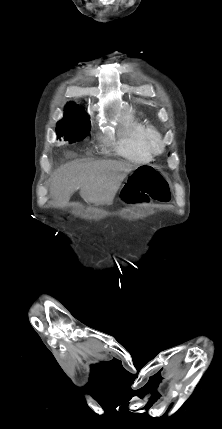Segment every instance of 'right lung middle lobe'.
I'll list each match as a JSON object with an SVG mask.
<instances>
[{"label":"right lung middle lobe","instance_id":"right-lung-middle-lobe-1","mask_svg":"<svg viewBox=\"0 0 222 429\" xmlns=\"http://www.w3.org/2000/svg\"><path fill=\"white\" fill-rule=\"evenodd\" d=\"M89 116L80 106L74 102H69L65 106L64 118L57 123V138L74 143L83 140L89 133Z\"/></svg>","mask_w":222,"mask_h":429}]
</instances>
